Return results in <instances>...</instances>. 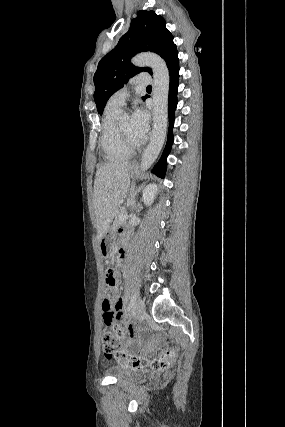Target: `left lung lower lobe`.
<instances>
[{
  "mask_svg": "<svg viewBox=\"0 0 285 427\" xmlns=\"http://www.w3.org/2000/svg\"><path fill=\"white\" fill-rule=\"evenodd\" d=\"M169 69V75H170V85H169V99H168V106H169V130H168V139L167 144L165 146V149L163 151V154L161 156V159L156 164V166L153 169V173L158 175L161 178H164L165 172H166V159L167 156L170 153L171 146L174 140L173 136V126H174V119H175V110L177 106V92H178V80H179V59L178 55H176L172 61L167 65Z\"/></svg>",
  "mask_w": 285,
  "mask_h": 427,
  "instance_id": "0a47b994",
  "label": "left lung lower lobe"
}]
</instances>
